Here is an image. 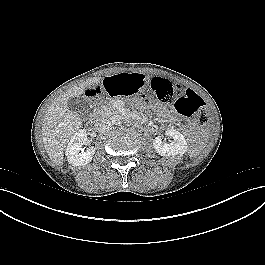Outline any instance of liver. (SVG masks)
Here are the masks:
<instances>
[{
    "mask_svg": "<svg viewBox=\"0 0 265 265\" xmlns=\"http://www.w3.org/2000/svg\"><path fill=\"white\" fill-rule=\"evenodd\" d=\"M100 81L101 79L96 77L69 88L52 103L45 114L42 124L43 142L49 157L55 164H63L64 150L71 137L82 125L79 115L69 110L68 100L79 97L86 89L94 88Z\"/></svg>",
    "mask_w": 265,
    "mask_h": 265,
    "instance_id": "liver-1",
    "label": "liver"
}]
</instances>
